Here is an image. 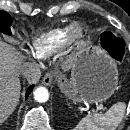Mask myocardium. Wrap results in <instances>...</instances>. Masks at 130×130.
<instances>
[{
  "instance_id": "obj_1",
  "label": "myocardium",
  "mask_w": 130,
  "mask_h": 130,
  "mask_svg": "<svg viewBox=\"0 0 130 130\" xmlns=\"http://www.w3.org/2000/svg\"><path fill=\"white\" fill-rule=\"evenodd\" d=\"M84 37V30L78 23H74L69 29V44H78Z\"/></svg>"
}]
</instances>
